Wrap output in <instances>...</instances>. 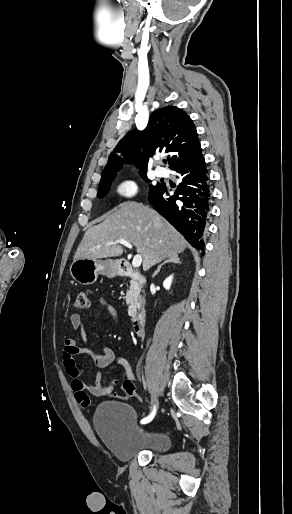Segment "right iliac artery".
I'll list each match as a JSON object with an SVG mask.
<instances>
[{"label":"right iliac artery","mask_w":292,"mask_h":514,"mask_svg":"<svg viewBox=\"0 0 292 514\" xmlns=\"http://www.w3.org/2000/svg\"><path fill=\"white\" fill-rule=\"evenodd\" d=\"M155 413H156V408L154 407V410L152 411V413H151L149 416H147V417L143 418V419L141 420V423H142V424H146V423H149L150 421H152V419H153V418H154V416H155Z\"/></svg>","instance_id":"obj_1"}]
</instances>
